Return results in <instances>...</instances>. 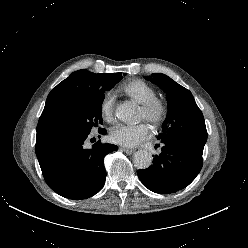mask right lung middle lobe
I'll return each instance as SVG.
<instances>
[{
	"mask_svg": "<svg viewBox=\"0 0 248 248\" xmlns=\"http://www.w3.org/2000/svg\"><path fill=\"white\" fill-rule=\"evenodd\" d=\"M89 74L92 75V80L87 88L85 97L81 101L41 115L37 131L43 129H69L90 132L103 123L102 102L104 92L113 88L123 76L121 73Z\"/></svg>",
	"mask_w": 248,
	"mask_h": 248,
	"instance_id": "right-lung-middle-lobe-1",
	"label": "right lung middle lobe"
}]
</instances>
